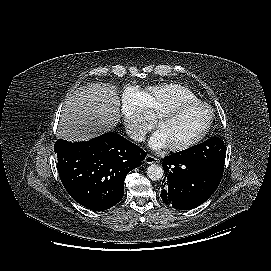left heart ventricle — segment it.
<instances>
[{
  "label": "left heart ventricle",
  "instance_id": "obj_1",
  "mask_svg": "<svg viewBox=\"0 0 271 271\" xmlns=\"http://www.w3.org/2000/svg\"><path fill=\"white\" fill-rule=\"evenodd\" d=\"M209 112L204 106L188 108L163 119L158 126L168 146L183 144L194 138L206 125Z\"/></svg>",
  "mask_w": 271,
  "mask_h": 271
}]
</instances>
